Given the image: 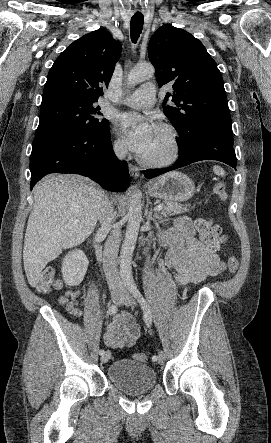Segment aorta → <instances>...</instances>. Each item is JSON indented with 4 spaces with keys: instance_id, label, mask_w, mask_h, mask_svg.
<instances>
[{
    "instance_id": "aorta-1",
    "label": "aorta",
    "mask_w": 271,
    "mask_h": 443,
    "mask_svg": "<svg viewBox=\"0 0 271 443\" xmlns=\"http://www.w3.org/2000/svg\"><path fill=\"white\" fill-rule=\"evenodd\" d=\"M153 76H155V70L152 64H140V66H135L130 70L128 84L129 86H136L139 82H144V80L153 78ZM141 198L140 190H134L126 216L128 223L120 251V275L122 281H126V283H134L131 261L142 220Z\"/></svg>"
}]
</instances>
